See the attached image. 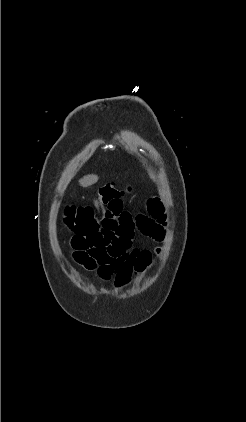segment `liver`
<instances>
[{
    "instance_id": "liver-1",
    "label": "liver",
    "mask_w": 246,
    "mask_h": 422,
    "mask_svg": "<svg viewBox=\"0 0 246 422\" xmlns=\"http://www.w3.org/2000/svg\"><path fill=\"white\" fill-rule=\"evenodd\" d=\"M98 181L97 175H87L79 180V183L83 187H88L95 184Z\"/></svg>"
}]
</instances>
